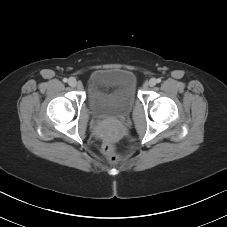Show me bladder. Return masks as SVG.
Masks as SVG:
<instances>
[{
  "label": "bladder",
  "instance_id": "obj_1",
  "mask_svg": "<svg viewBox=\"0 0 227 227\" xmlns=\"http://www.w3.org/2000/svg\"><path fill=\"white\" fill-rule=\"evenodd\" d=\"M135 77L122 69H99L88 81V103L99 119L128 115L135 104Z\"/></svg>",
  "mask_w": 227,
  "mask_h": 227
}]
</instances>
